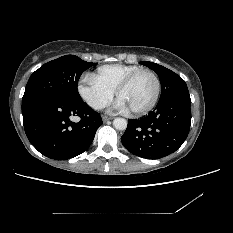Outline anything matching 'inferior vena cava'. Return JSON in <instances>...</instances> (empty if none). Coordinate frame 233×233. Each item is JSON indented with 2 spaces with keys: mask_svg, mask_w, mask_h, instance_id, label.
Wrapping results in <instances>:
<instances>
[{
  "mask_svg": "<svg viewBox=\"0 0 233 233\" xmlns=\"http://www.w3.org/2000/svg\"><path fill=\"white\" fill-rule=\"evenodd\" d=\"M104 107H105V104L99 103V104H97V105L95 106V109H102V108H104Z\"/></svg>",
  "mask_w": 233,
  "mask_h": 233,
  "instance_id": "inferior-vena-cava-1",
  "label": "inferior vena cava"
}]
</instances>
